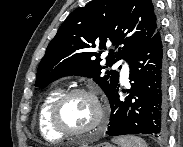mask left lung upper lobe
I'll use <instances>...</instances> for the list:
<instances>
[{
    "instance_id": "5c2ea615",
    "label": "left lung upper lobe",
    "mask_w": 183,
    "mask_h": 147,
    "mask_svg": "<svg viewBox=\"0 0 183 147\" xmlns=\"http://www.w3.org/2000/svg\"><path fill=\"white\" fill-rule=\"evenodd\" d=\"M158 29L151 0H93L74 10L60 26L39 64L35 86L44 88L63 76H85L93 78L109 97L119 73L103 69L126 60ZM107 42L123 46L109 52L104 66L100 58L104 51L94 48L106 50Z\"/></svg>"
}]
</instances>
